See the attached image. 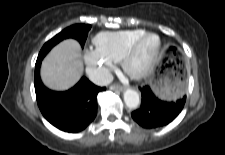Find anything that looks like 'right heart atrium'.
<instances>
[{
	"instance_id": "1",
	"label": "right heart atrium",
	"mask_w": 225,
	"mask_h": 155,
	"mask_svg": "<svg viewBox=\"0 0 225 155\" xmlns=\"http://www.w3.org/2000/svg\"><path fill=\"white\" fill-rule=\"evenodd\" d=\"M84 60L88 74L96 80H105L114 67L113 61L103 57L95 49L86 50Z\"/></svg>"
}]
</instances>
